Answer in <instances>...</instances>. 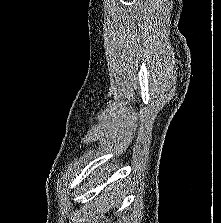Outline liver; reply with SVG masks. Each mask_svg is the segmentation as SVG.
I'll return each instance as SVG.
<instances>
[{"mask_svg": "<svg viewBox=\"0 0 221 223\" xmlns=\"http://www.w3.org/2000/svg\"><path fill=\"white\" fill-rule=\"evenodd\" d=\"M121 189H122V184L120 185V188H119V186H118V188H117V193L120 192ZM110 190H111V187H110Z\"/></svg>", "mask_w": 221, "mask_h": 223, "instance_id": "6515ba94", "label": "liver"}]
</instances>
